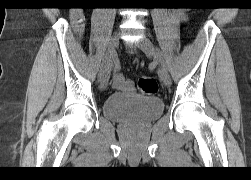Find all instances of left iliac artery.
Masks as SVG:
<instances>
[{"label":"left iliac artery","mask_w":251,"mask_h":180,"mask_svg":"<svg viewBox=\"0 0 251 180\" xmlns=\"http://www.w3.org/2000/svg\"><path fill=\"white\" fill-rule=\"evenodd\" d=\"M156 53L160 58V61H161V64H162L163 68L166 69V63H165V61H164V59L162 57V52L160 51V49L156 48Z\"/></svg>","instance_id":"obj_1"}]
</instances>
